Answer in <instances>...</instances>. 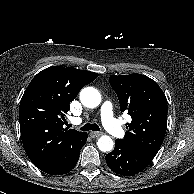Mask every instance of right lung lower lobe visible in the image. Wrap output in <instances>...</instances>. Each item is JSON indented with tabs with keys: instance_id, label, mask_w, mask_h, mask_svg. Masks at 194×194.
I'll use <instances>...</instances> for the list:
<instances>
[{
	"instance_id": "obj_1",
	"label": "right lung lower lobe",
	"mask_w": 194,
	"mask_h": 194,
	"mask_svg": "<svg viewBox=\"0 0 194 194\" xmlns=\"http://www.w3.org/2000/svg\"><path fill=\"white\" fill-rule=\"evenodd\" d=\"M87 137V133H84L81 139L70 151L58 159L54 164L40 170L50 175H63L70 172L78 161L80 150L85 144Z\"/></svg>"
}]
</instances>
